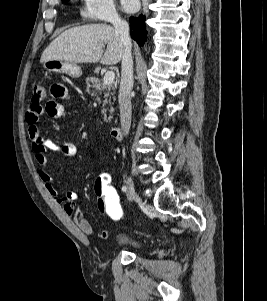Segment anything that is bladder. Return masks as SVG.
Masks as SVG:
<instances>
[{
	"mask_svg": "<svg viewBox=\"0 0 267 301\" xmlns=\"http://www.w3.org/2000/svg\"><path fill=\"white\" fill-rule=\"evenodd\" d=\"M115 246L118 248H131L141 250L144 243L141 239L131 235H120L115 240Z\"/></svg>",
	"mask_w": 267,
	"mask_h": 301,
	"instance_id": "bladder-1",
	"label": "bladder"
}]
</instances>
